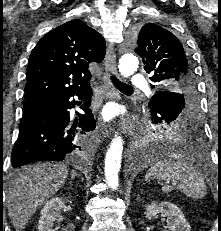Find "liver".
<instances>
[{"label": "liver", "mask_w": 221, "mask_h": 231, "mask_svg": "<svg viewBox=\"0 0 221 231\" xmlns=\"http://www.w3.org/2000/svg\"><path fill=\"white\" fill-rule=\"evenodd\" d=\"M63 164H33L11 174L6 184L8 215L16 231L25 228L37 209L66 182Z\"/></svg>", "instance_id": "liver-1"}]
</instances>
